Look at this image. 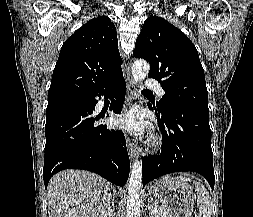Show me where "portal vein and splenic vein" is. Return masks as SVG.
<instances>
[{
  "label": "portal vein and splenic vein",
  "mask_w": 253,
  "mask_h": 217,
  "mask_svg": "<svg viewBox=\"0 0 253 217\" xmlns=\"http://www.w3.org/2000/svg\"><path fill=\"white\" fill-rule=\"evenodd\" d=\"M161 211H162V209L158 206L154 207V209H153L154 214H159Z\"/></svg>",
  "instance_id": "obj_1"
}]
</instances>
